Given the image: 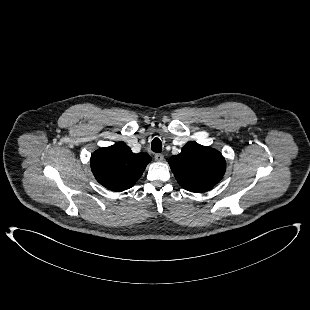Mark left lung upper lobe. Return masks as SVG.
<instances>
[{
    "label": "left lung upper lobe",
    "mask_w": 310,
    "mask_h": 310,
    "mask_svg": "<svg viewBox=\"0 0 310 310\" xmlns=\"http://www.w3.org/2000/svg\"><path fill=\"white\" fill-rule=\"evenodd\" d=\"M180 186L191 192H205L223 177L226 162L220 152L196 142L187 143L178 155L169 159Z\"/></svg>",
    "instance_id": "5c2ea615"
}]
</instances>
